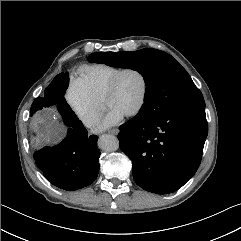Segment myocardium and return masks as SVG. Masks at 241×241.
Returning <instances> with one entry per match:
<instances>
[{"label":"myocardium","instance_id":"obj_1","mask_svg":"<svg viewBox=\"0 0 241 241\" xmlns=\"http://www.w3.org/2000/svg\"><path fill=\"white\" fill-rule=\"evenodd\" d=\"M128 72H136L142 80L143 83V90H142V95L141 98L138 102V104L136 105V107L130 111L129 113H127L125 116L126 117H134L136 115H138L142 109L144 108L146 101H147V97H148V92H149V82H148V78L146 76V74L139 68L136 67H126V68H122L119 72H117L112 79L109 81L104 95H103V103L105 104V102L107 101V99L114 93V91L116 90V87L118 85L119 80L121 79V77Z\"/></svg>","mask_w":241,"mask_h":241}]
</instances>
